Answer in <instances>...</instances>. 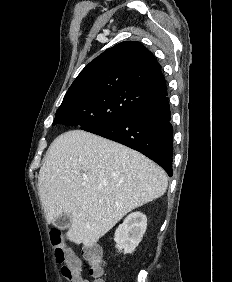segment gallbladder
Masks as SVG:
<instances>
[{
    "label": "gallbladder",
    "mask_w": 232,
    "mask_h": 282,
    "mask_svg": "<svg viewBox=\"0 0 232 282\" xmlns=\"http://www.w3.org/2000/svg\"><path fill=\"white\" fill-rule=\"evenodd\" d=\"M53 225L60 230L68 229L71 226V216L69 214H62L53 221Z\"/></svg>",
    "instance_id": "1"
}]
</instances>
